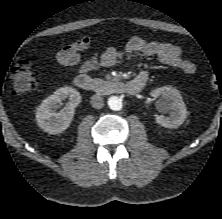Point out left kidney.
<instances>
[{
  "instance_id": "left-kidney-1",
  "label": "left kidney",
  "mask_w": 222,
  "mask_h": 219,
  "mask_svg": "<svg viewBox=\"0 0 222 219\" xmlns=\"http://www.w3.org/2000/svg\"><path fill=\"white\" fill-rule=\"evenodd\" d=\"M152 97H161L158 101V109L170 111V116L157 115L155 120L166 128H176L184 123L187 117V109L180 92L171 86H163L151 92Z\"/></svg>"
}]
</instances>
